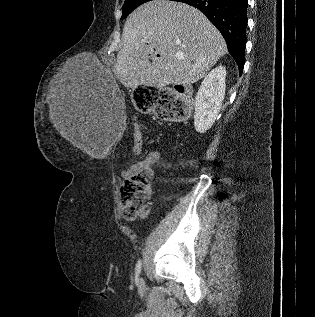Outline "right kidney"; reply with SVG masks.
Segmentation results:
<instances>
[{"label": "right kidney", "instance_id": "right-kidney-1", "mask_svg": "<svg viewBox=\"0 0 315 317\" xmlns=\"http://www.w3.org/2000/svg\"><path fill=\"white\" fill-rule=\"evenodd\" d=\"M226 69L219 65L204 78L195 97L194 127L198 133H205L214 124L226 89Z\"/></svg>", "mask_w": 315, "mask_h": 317}]
</instances>
